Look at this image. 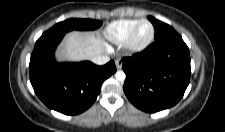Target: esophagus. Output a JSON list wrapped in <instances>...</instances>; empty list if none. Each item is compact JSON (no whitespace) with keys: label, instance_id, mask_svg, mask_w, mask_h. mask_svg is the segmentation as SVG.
I'll return each instance as SVG.
<instances>
[{"label":"esophagus","instance_id":"1","mask_svg":"<svg viewBox=\"0 0 225 132\" xmlns=\"http://www.w3.org/2000/svg\"><path fill=\"white\" fill-rule=\"evenodd\" d=\"M115 65L117 69L122 68V61L120 59L115 60Z\"/></svg>","mask_w":225,"mask_h":132}]
</instances>
